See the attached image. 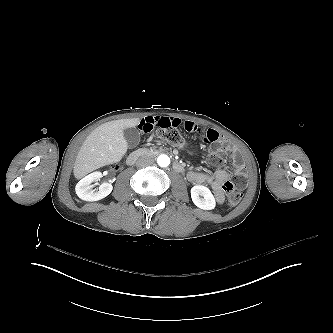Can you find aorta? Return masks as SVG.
I'll use <instances>...</instances> for the list:
<instances>
[{
  "label": "aorta",
  "mask_w": 333,
  "mask_h": 333,
  "mask_svg": "<svg viewBox=\"0 0 333 333\" xmlns=\"http://www.w3.org/2000/svg\"><path fill=\"white\" fill-rule=\"evenodd\" d=\"M157 163L160 167H167L170 164V158L167 155L162 154L157 158Z\"/></svg>",
  "instance_id": "762f6f07"
}]
</instances>
